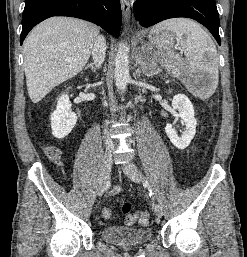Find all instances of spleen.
<instances>
[{"label":"spleen","instance_id":"3e777b00","mask_svg":"<svg viewBox=\"0 0 247 257\" xmlns=\"http://www.w3.org/2000/svg\"><path fill=\"white\" fill-rule=\"evenodd\" d=\"M162 30L172 31L177 36L194 81L205 74L209 75V83L199 93L201 98H209L215 92L219 79L218 54L211 37L199 24L187 18L163 21L155 25L152 32Z\"/></svg>","mask_w":247,"mask_h":257}]
</instances>
